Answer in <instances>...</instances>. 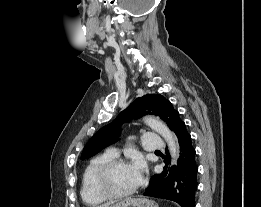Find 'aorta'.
Masks as SVG:
<instances>
[{
    "label": "aorta",
    "instance_id": "obj_1",
    "mask_svg": "<svg viewBox=\"0 0 261 207\" xmlns=\"http://www.w3.org/2000/svg\"><path fill=\"white\" fill-rule=\"evenodd\" d=\"M146 125L151 129L160 134L164 140L167 142L171 157L175 162L179 157V147L176 142V137L173 132L164 124L161 120L153 117H145L143 119Z\"/></svg>",
    "mask_w": 261,
    "mask_h": 207
}]
</instances>
